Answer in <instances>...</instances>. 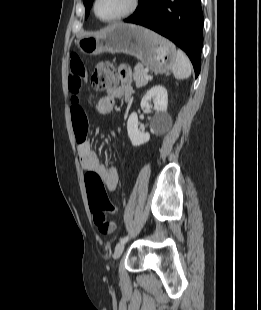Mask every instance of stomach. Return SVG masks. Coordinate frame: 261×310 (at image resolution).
Segmentation results:
<instances>
[{
	"instance_id": "0dacf381",
	"label": "stomach",
	"mask_w": 261,
	"mask_h": 310,
	"mask_svg": "<svg viewBox=\"0 0 261 310\" xmlns=\"http://www.w3.org/2000/svg\"><path fill=\"white\" fill-rule=\"evenodd\" d=\"M77 45L88 55L110 52L135 56L155 73L168 72L176 60V49L172 43L134 24L114 23L99 33L79 39Z\"/></svg>"
}]
</instances>
